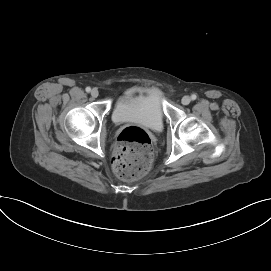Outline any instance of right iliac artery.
<instances>
[{
	"label": "right iliac artery",
	"mask_w": 271,
	"mask_h": 271,
	"mask_svg": "<svg viewBox=\"0 0 271 271\" xmlns=\"http://www.w3.org/2000/svg\"><path fill=\"white\" fill-rule=\"evenodd\" d=\"M85 90H86V92L89 93V92L91 91V88H90V87H87Z\"/></svg>",
	"instance_id": "right-iliac-artery-1"
}]
</instances>
